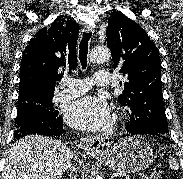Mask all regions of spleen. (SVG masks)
<instances>
[{
    "label": "spleen",
    "instance_id": "spleen-1",
    "mask_svg": "<svg viewBox=\"0 0 183 179\" xmlns=\"http://www.w3.org/2000/svg\"><path fill=\"white\" fill-rule=\"evenodd\" d=\"M169 166L172 170H178L179 169V164L177 160L173 157L169 158Z\"/></svg>",
    "mask_w": 183,
    "mask_h": 179
}]
</instances>
